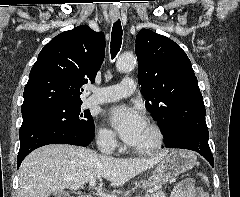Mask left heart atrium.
I'll return each mask as SVG.
<instances>
[{
  "instance_id": "left-heart-atrium-1",
  "label": "left heart atrium",
  "mask_w": 240,
  "mask_h": 197,
  "mask_svg": "<svg viewBox=\"0 0 240 197\" xmlns=\"http://www.w3.org/2000/svg\"><path fill=\"white\" fill-rule=\"evenodd\" d=\"M108 120L116 129L122 140L132 145L143 133L146 122L138 108L128 105H117L108 112Z\"/></svg>"
}]
</instances>
